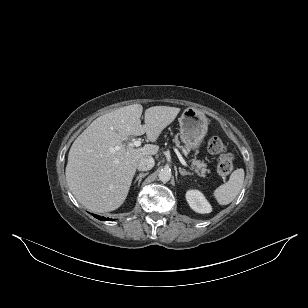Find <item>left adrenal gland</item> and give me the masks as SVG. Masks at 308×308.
Segmentation results:
<instances>
[{
	"instance_id": "1",
	"label": "left adrenal gland",
	"mask_w": 308,
	"mask_h": 308,
	"mask_svg": "<svg viewBox=\"0 0 308 308\" xmlns=\"http://www.w3.org/2000/svg\"><path fill=\"white\" fill-rule=\"evenodd\" d=\"M179 173L181 174V176H185V175L191 176V175H192V173L187 172V171H186L185 169H183V168H179Z\"/></svg>"
}]
</instances>
